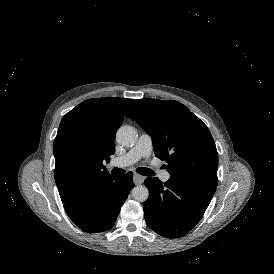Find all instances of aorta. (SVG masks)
Listing matches in <instances>:
<instances>
[{
    "label": "aorta",
    "instance_id": "obj_1",
    "mask_svg": "<svg viewBox=\"0 0 274 274\" xmlns=\"http://www.w3.org/2000/svg\"><path fill=\"white\" fill-rule=\"evenodd\" d=\"M138 138L137 131L132 126H121L116 133V140L122 146H133ZM132 197L138 202H145L149 197L146 186L139 185L132 189Z\"/></svg>",
    "mask_w": 274,
    "mask_h": 274
}]
</instances>
